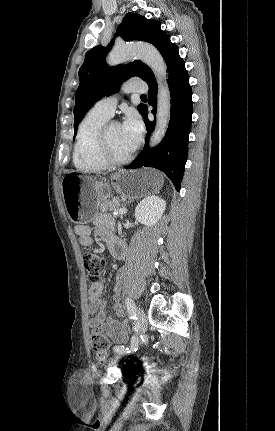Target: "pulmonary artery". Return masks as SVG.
<instances>
[{"label":"pulmonary artery","mask_w":275,"mask_h":431,"mask_svg":"<svg viewBox=\"0 0 275 431\" xmlns=\"http://www.w3.org/2000/svg\"><path fill=\"white\" fill-rule=\"evenodd\" d=\"M124 92H135V93H144L147 91V85L139 80H132L127 82L123 86ZM118 103V96L112 95L105 97L101 100H99L95 106L94 109L98 112L105 114L109 117H111L114 114L116 105Z\"/></svg>","instance_id":"e3ab8cb5"}]
</instances>
